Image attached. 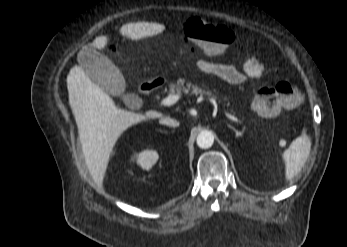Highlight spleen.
<instances>
[{"label":"spleen","instance_id":"3e777b00","mask_svg":"<svg viewBox=\"0 0 347 247\" xmlns=\"http://www.w3.org/2000/svg\"><path fill=\"white\" fill-rule=\"evenodd\" d=\"M311 150V141L305 132L286 149L282 158L286 165V178L292 179L304 166Z\"/></svg>","mask_w":347,"mask_h":247}]
</instances>
